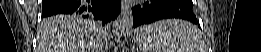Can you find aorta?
<instances>
[{"label":"aorta","instance_id":"obj_1","mask_svg":"<svg viewBox=\"0 0 261 52\" xmlns=\"http://www.w3.org/2000/svg\"><path fill=\"white\" fill-rule=\"evenodd\" d=\"M133 26V18L131 16H121L113 27V36L120 39L125 36Z\"/></svg>","mask_w":261,"mask_h":52}]
</instances>
